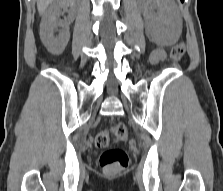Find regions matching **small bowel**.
<instances>
[{
  "mask_svg": "<svg viewBox=\"0 0 223 191\" xmlns=\"http://www.w3.org/2000/svg\"><path fill=\"white\" fill-rule=\"evenodd\" d=\"M164 51L160 48L155 49L151 54V61L153 63H159L164 58Z\"/></svg>",
  "mask_w": 223,
  "mask_h": 191,
  "instance_id": "1",
  "label": "small bowel"
}]
</instances>
